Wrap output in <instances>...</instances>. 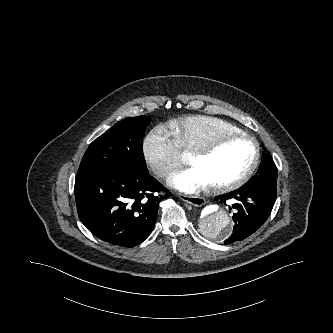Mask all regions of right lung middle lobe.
Listing matches in <instances>:
<instances>
[{
    "label": "right lung middle lobe",
    "instance_id": "obj_1",
    "mask_svg": "<svg viewBox=\"0 0 333 333\" xmlns=\"http://www.w3.org/2000/svg\"><path fill=\"white\" fill-rule=\"evenodd\" d=\"M149 122L148 116L131 117L117 122L89 145L79 170L106 168L126 172L148 171L142 146Z\"/></svg>",
    "mask_w": 333,
    "mask_h": 333
}]
</instances>
